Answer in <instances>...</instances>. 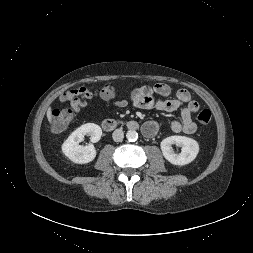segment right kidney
I'll return each mask as SVG.
<instances>
[{
    "instance_id": "ca27d5eb",
    "label": "right kidney",
    "mask_w": 253,
    "mask_h": 253,
    "mask_svg": "<svg viewBox=\"0 0 253 253\" xmlns=\"http://www.w3.org/2000/svg\"><path fill=\"white\" fill-rule=\"evenodd\" d=\"M85 135L91 136V142L96 143L102 136V129L97 124L86 123L72 132L64 141L62 152L74 163L86 164L96 157L97 152L92 144L79 145Z\"/></svg>"
}]
</instances>
